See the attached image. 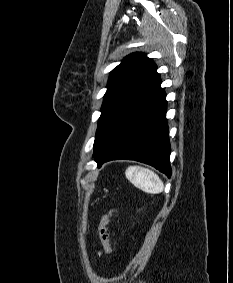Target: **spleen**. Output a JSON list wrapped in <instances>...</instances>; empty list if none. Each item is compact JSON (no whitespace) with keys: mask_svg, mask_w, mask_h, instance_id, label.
<instances>
[{"mask_svg":"<svg viewBox=\"0 0 233 283\" xmlns=\"http://www.w3.org/2000/svg\"><path fill=\"white\" fill-rule=\"evenodd\" d=\"M126 178L137 188L150 194H159L164 184L152 170L140 166H130L125 172Z\"/></svg>","mask_w":233,"mask_h":283,"instance_id":"3e777b00","label":"spleen"}]
</instances>
